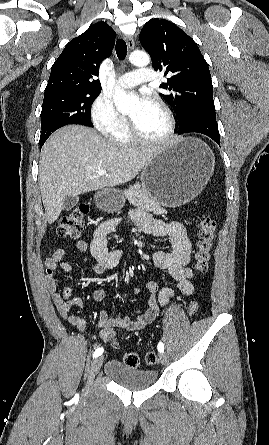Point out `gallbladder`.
I'll use <instances>...</instances> for the list:
<instances>
[{
	"label": "gallbladder",
	"instance_id": "bac80fb5",
	"mask_svg": "<svg viewBox=\"0 0 269 445\" xmlns=\"http://www.w3.org/2000/svg\"><path fill=\"white\" fill-rule=\"evenodd\" d=\"M78 201H79L78 196H65L63 200V210L64 211L71 210L77 205Z\"/></svg>",
	"mask_w": 269,
	"mask_h": 445
}]
</instances>
